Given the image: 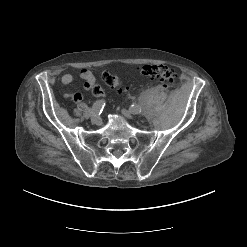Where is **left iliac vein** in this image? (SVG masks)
<instances>
[{"label": "left iliac vein", "instance_id": "1", "mask_svg": "<svg viewBox=\"0 0 247 247\" xmlns=\"http://www.w3.org/2000/svg\"><path fill=\"white\" fill-rule=\"evenodd\" d=\"M122 114L126 117V118H132V113L130 112V110L127 109H122L121 110ZM138 114V113H137Z\"/></svg>", "mask_w": 247, "mask_h": 247}]
</instances>
